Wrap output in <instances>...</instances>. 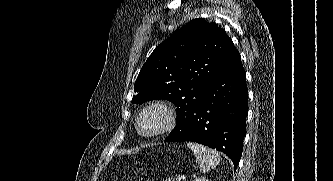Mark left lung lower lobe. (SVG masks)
Here are the masks:
<instances>
[{
    "label": "left lung lower lobe",
    "instance_id": "obj_1",
    "mask_svg": "<svg viewBox=\"0 0 333 181\" xmlns=\"http://www.w3.org/2000/svg\"><path fill=\"white\" fill-rule=\"evenodd\" d=\"M248 91L245 71L238 55L209 83L201 102L177 118L165 142L192 141L226 154L236 167L246 131Z\"/></svg>",
    "mask_w": 333,
    "mask_h": 181
}]
</instances>
